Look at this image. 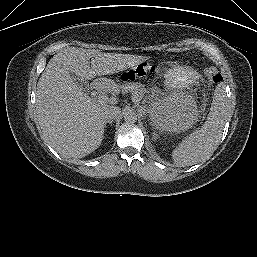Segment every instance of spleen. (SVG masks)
<instances>
[{
  "mask_svg": "<svg viewBox=\"0 0 257 257\" xmlns=\"http://www.w3.org/2000/svg\"><path fill=\"white\" fill-rule=\"evenodd\" d=\"M227 118L226 93L224 87L218 85L206 121L201 128L186 136L173 150L174 162L185 167L209 158L220 143Z\"/></svg>",
  "mask_w": 257,
  "mask_h": 257,
  "instance_id": "obj_1",
  "label": "spleen"
}]
</instances>
